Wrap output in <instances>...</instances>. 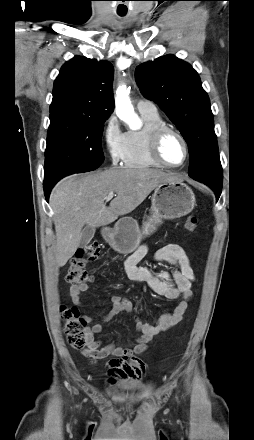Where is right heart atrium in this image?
Segmentation results:
<instances>
[{
  "instance_id": "1",
  "label": "right heart atrium",
  "mask_w": 254,
  "mask_h": 440,
  "mask_svg": "<svg viewBox=\"0 0 254 440\" xmlns=\"http://www.w3.org/2000/svg\"><path fill=\"white\" fill-rule=\"evenodd\" d=\"M103 138L111 162L118 164L123 161L127 132L122 129L114 114H111L105 121Z\"/></svg>"
}]
</instances>
